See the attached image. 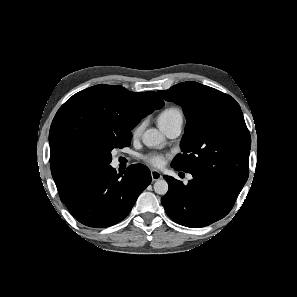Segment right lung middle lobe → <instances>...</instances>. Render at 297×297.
I'll list each match as a JSON object with an SVG mask.
<instances>
[{
	"mask_svg": "<svg viewBox=\"0 0 297 297\" xmlns=\"http://www.w3.org/2000/svg\"><path fill=\"white\" fill-rule=\"evenodd\" d=\"M131 134L109 139L102 143L96 153V163L99 168L108 166L111 162V151L113 148H122L124 145H130Z\"/></svg>",
	"mask_w": 297,
	"mask_h": 297,
	"instance_id": "dd1d6c3e",
	"label": "right lung middle lobe"
}]
</instances>
